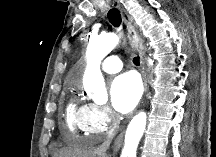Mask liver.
<instances>
[{"label":"liver","instance_id":"liver-1","mask_svg":"<svg viewBox=\"0 0 216 157\" xmlns=\"http://www.w3.org/2000/svg\"><path fill=\"white\" fill-rule=\"evenodd\" d=\"M57 157H103V154L95 148L74 146L61 150Z\"/></svg>","mask_w":216,"mask_h":157}]
</instances>
